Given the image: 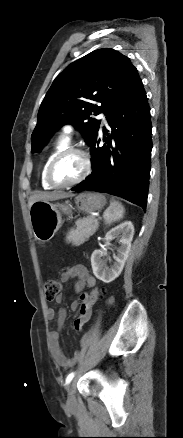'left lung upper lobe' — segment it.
Listing matches in <instances>:
<instances>
[{
    "label": "left lung upper lobe",
    "mask_w": 183,
    "mask_h": 438,
    "mask_svg": "<svg viewBox=\"0 0 183 438\" xmlns=\"http://www.w3.org/2000/svg\"><path fill=\"white\" fill-rule=\"evenodd\" d=\"M137 77L129 58L113 49L95 50L68 65L41 103L31 136L32 151L40 152L53 132L68 123L78 128L90 145L101 123L90 115L107 114Z\"/></svg>",
    "instance_id": "1"
}]
</instances>
